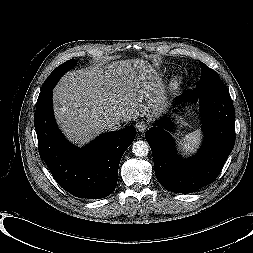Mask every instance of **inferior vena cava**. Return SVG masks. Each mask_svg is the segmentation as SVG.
I'll list each match as a JSON object with an SVG mask.
<instances>
[{
    "label": "inferior vena cava",
    "instance_id": "1",
    "mask_svg": "<svg viewBox=\"0 0 253 253\" xmlns=\"http://www.w3.org/2000/svg\"><path fill=\"white\" fill-rule=\"evenodd\" d=\"M106 127L110 131H115L120 127V120L117 118L108 119L106 122Z\"/></svg>",
    "mask_w": 253,
    "mask_h": 253
}]
</instances>
